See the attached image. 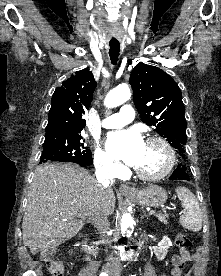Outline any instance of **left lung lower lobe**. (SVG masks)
Masks as SVG:
<instances>
[{
    "instance_id": "0a47b994",
    "label": "left lung lower lobe",
    "mask_w": 221,
    "mask_h": 276,
    "mask_svg": "<svg viewBox=\"0 0 221 276\" xmlns=\"http://www.w3.org/2000/svg\"><path fill=\"white\" fill-rule=\"evenodd\" d=\"M170 180H187L189 181V175L187 172V168L181 164L174 170L172 175L169 178Z\"/></svg>"
}]
</instances>
